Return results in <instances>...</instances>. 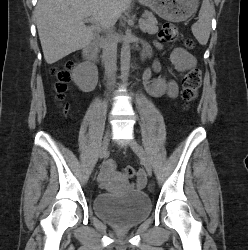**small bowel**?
<instances>
[{"instance_id": "c3829d8e", "label": "small bowel", "mask_w": 248, "mask_h": 250, "mask_svg": "<svg viewBox=\"0 0 248 250\" xmlns=\"http://www.w3.org/2000/svg\"><path fill=\"white\" fill-rule=\"evenodd\" d=\"M160 47V45H158ZM171 61L174 64L175 68L178 71L184 72L189 70L192 67H195L196 60L195 58L190 55L186 50L182 48H176L171 53ZM158 70V68H156ZM149 88L153 92L159 91V81L156 79H151L149 81ZM166 95L169 97H175L178 93V84L175 80H169L166 83ZM112 171V165L105 164L102 168L101 178L103 180L107 179L109 174Z\"/></svg>"}]
</instances>
